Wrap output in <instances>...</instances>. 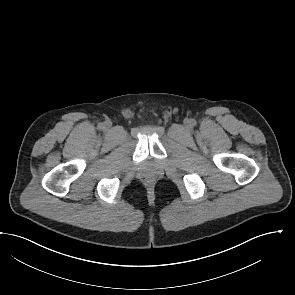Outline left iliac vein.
Returning <instances> with one entry per match:
<instances>
[{
    "label": "left iliac vein",
    "mask_w": 295,
    "mask_h": 295,
    "mask_svg": "<svg viewBox=\"0 0 295 295\" xmlns=\"http://www.w3.org/2000/svg\"><path fill=\"white\" fill-rule=\"evenodd\" d=\"M190 124H191V120H189V119L185 120V127L186 128H189Z\"/></svg>",
    "instance_id": "1"
}]
</instances>
